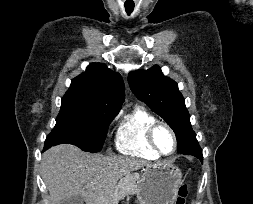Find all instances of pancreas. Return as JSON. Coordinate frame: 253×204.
<instances>
[{
  "instance_id": "pancreas-1",
  "label": "pancreas",
  "mask_w": 253,
  "mask_h": 204,
  "mask_svg": "<svg viewBox=\"0 0 253 204\" xmlns=\"http://www.w3.org/2000/svg\"><path fill=\"white\" fill-rule=\"evenodd\" d=\"M138 180L137 177L134 176H126L122 178L117 186H116V193L120 198H124L127 195L135 194L136 193V181Z\"/></svg>"
}]
</instances>
